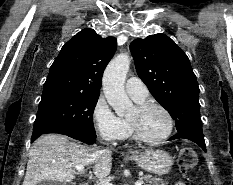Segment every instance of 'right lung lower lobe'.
<instances>
[{"label": "right lung lower lobe", "instance_id": "1", "mask_svg": "<svg viewBox=\"0 0 233 185\" xmlns=\"http://www.w3.org/2000/svg\"><path fill=\"white\" fill-rule=\"evenodd\" d=\"M70 137L88 144L94 143L96 141V136L86 134H71Z\"/></svg>", "mask_w": 233, "mask_h": 185}]
</instances>
